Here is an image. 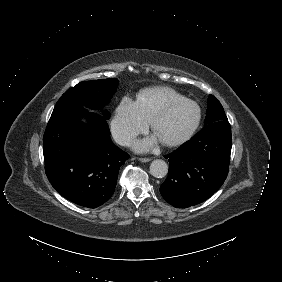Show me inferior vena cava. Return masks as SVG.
Segmentation results:
<instances>
[{
  "label": "inferior vena cava",
  "mask_w": 282,
  "mask_h": 282,
  "mask_svg": "<svg viewBox=\"0 0 282 282\" xmlns=\"http://www.w3.org/2000/svg\"><path fill=\"white\" fill-rule=\"evenodd\" d=\"M114 141L124 147L131 146L134 141V136L127 130H112Z\"/></svg>",
  "instance_id": "602c4592"
}]
</instances>
